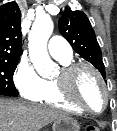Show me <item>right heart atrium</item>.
<instances>
[{"label": "right heart atrium", "mask_w": 117, "mask_h": 131, "mask_svg": "<svg viewBox=\"0 0 117 131\" xmlns=\"http://www.w3.org/2000/svg\"><path fill=\"white\" fill-rule=\"evenodd\" d=\"M14 83L21 96L31 101H37L45 87V80L26 61L18 64L14 72Z\"/></svg>", "instance_id": "obj_1"}]
</instances>
